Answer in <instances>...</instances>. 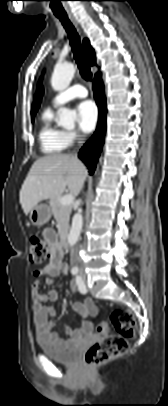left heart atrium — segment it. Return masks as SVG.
Segmentation results:
<instances>
[{
	"label": "left heart atrium",
	"mask_w": 168,
	"mask_h": 406,
	"mask_svg": "<svg viewBox=\"0 0 168 406\" xmlns=\"http://www.w3.org/2000/svg\"><path fill=\"white\" fill-rule=\"evenodd\" d=\"M78 124L85 133L92 132L97 124L98 110L92 101H83L77 106Z\"/></svg>",
	"instance_id": "obj_1"
}]
</instances>
